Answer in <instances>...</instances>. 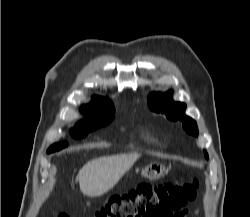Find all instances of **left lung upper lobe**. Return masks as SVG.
<instances>
[{"label":"left lung upper lobe","instance_id":"5c2ea615","mask_svg":"<svg viewBox=\"0 0 250 217\" xmlns=\"http://www.w3.org/2000/svg\"><path fill=\"white\" fill-rule=\"evenodd\" d=\"M149 108L157 113H163L171 121L180 120L183 122V128L190 135H198V129L196 122L186 116L184 111L186 105L181 102H174L172 99V91L166 93H151L149 95ZM206 159H208V154L204 151Z\"/></svg>","mask_w":250,"mask_h":217}]
</instances>
